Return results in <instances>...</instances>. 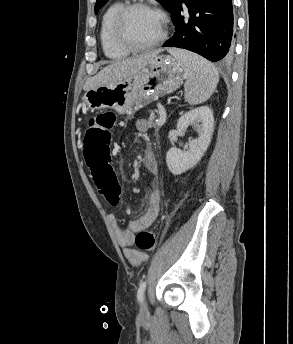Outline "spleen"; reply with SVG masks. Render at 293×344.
Instances as JSON below:
<instances>
[{"label":"spleen","mask_w":293,"mask_h":344,"mask_svg":"<svg viewBox=\"0 0 293 344\" xmlns=\"http://www.w3.org/2000/svg\"><path fill=\"white\" fill-rule=\"evenodd\" d=\"M170 53L188 72V79L184 86L187 102L196 105L208 100L219 81L215 66L203 57L185 50L170 49Z\"/></svg>","instance_id":"obj_1"}]
</instances>
